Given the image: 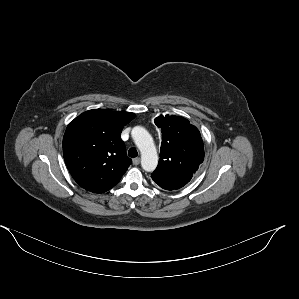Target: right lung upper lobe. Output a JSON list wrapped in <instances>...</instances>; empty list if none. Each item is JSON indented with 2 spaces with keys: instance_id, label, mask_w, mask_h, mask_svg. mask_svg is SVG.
I'll list each match as a JSON object with an SVG mask.
<instances>
[{
  "instance_id": "1",
  "label": "right lung upper lobe",
  "mask_w": 299,
  "mask_h": 299,
  "mask_svg": "<svg viewBox=\"0 0 299 299\" xmlns=\"http://www.w3.org/2000/svg\"><path fill=\"white\" fill-rule=\"evenodd\" d=\"M134 117L130 112L93 109L69 123L63 137V156L82 188L104 193L119 182L132 163L120 135Z\"/></svg>"
}]
</instances>
